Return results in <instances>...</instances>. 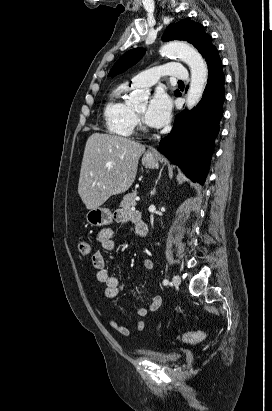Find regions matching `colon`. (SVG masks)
Segmentation results:
<instances>
[{
    "instance_id": "colon-1",
    "label": "colon",
    "mask_w": 272,
    "mask_h": 411,
    "mask_svg": "<svg viewBox=\"0 0 272 411\" xmlns=\"http://www.w3.org/2000/svg\"><path fill=\"white\" fill-rule=\"evenodd\" d=\"M78 248L81 254L88 255L91 251L90 244L82 240L78 244ZM204 332L202 330H197L193 332H183L180 333L177 338L186 343H197L204 339Z\"/></svg>"
}]
</instances>
